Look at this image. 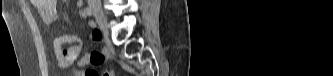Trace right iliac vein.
I'll use <instances>...</instances> for the list:
<instances>
[{"label": "right iliac vein", "instance_id": "right-iliac-vein-1", "mask_svg": "<svg viewBox=\"0 0 333 76\" xmlns=\"http://www.w3.org/2000/svg\"><path fill=\"white\" fill-rule=\"evenodd\" d=\"M97 23L99 24L100 28L103 30L105 34H108V21L103 13L101 7L99 5H92L90 6Z\"/></svg>", "mask_w": 333, "mask_h": 76}]
</instances>
